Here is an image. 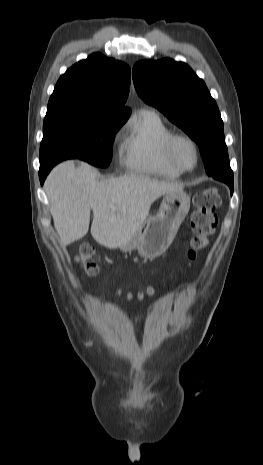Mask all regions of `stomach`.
I'll list each match as a JSON object with an SVG mask.
<instances>
[{"label":"stomach","mask_w":263,"mask_h":465,"mask_svg":"<svg viewBox=\"0 0 263 465\" xmlns=\"http://www.w3.org/2000/svg\"><path fill=\"white\" fill-rule=\"evenodd\" d=\"M189 209L190 197L185 192L166 193L159 212L147 217L131 239L120 246V250L131 252L136 249L146 259L160 256L172 243Z\"/></svg>","instance_id":"1"}]
</instances>
